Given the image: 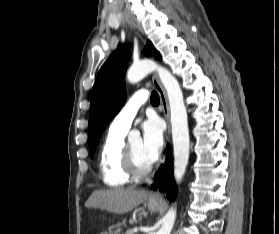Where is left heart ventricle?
<instances>
[{"label":"left heart ventricle","instance_id":"b2bd125f","mask_svg":"<svg viewBox=\"0 0 279 234\" xmlns=\"http://www.w3.org/2000/svg\"><path fill=\"white\" fill-rule=\"evenodd\" d=\"M128 144L133 150L135 158L140 166H146L152 161L145 153L142 140L140 138L133 139Z\"/></svg>","mask_w":279,"mask_h":234}]
</instances>
